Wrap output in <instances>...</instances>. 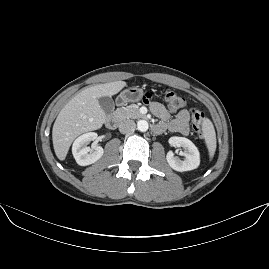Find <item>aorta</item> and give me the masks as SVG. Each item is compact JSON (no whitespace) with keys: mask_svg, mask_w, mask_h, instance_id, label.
Listing matches in <instances>:
<instances>
[{"mask_svg":"<svg viewBox=\"0 0 269 269\" xmlns=\"http://www.w3.org/2000/svg\"><path fill=\"white\" fill-rule=\"evenodd\" d=\"M137 128L141 132H146L149 128L148 122L146 120H139L137 122Z\"/></svg>","mask_w":269,"mask_h":269,"instance_id":"obj_1","label":"aorta"}]
</instances>
